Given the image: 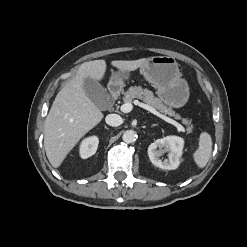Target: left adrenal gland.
<instances>
[{
    "label": "left adrenal gland",
    "mask_w": 247,
    "mask_h": 247,
    "mask_svg": "<svg viewBox=\"0 0 247 247\" xmlns=\"http://www.w3.org/2000/svg\"><path fill=\"white\" fill-rule=\"evenodd\" d=\"M157 125H158V124H153L152 127H155V126H157Z\"/></svg>",
    "instance_id": "a2214340"
}]
</instances>
